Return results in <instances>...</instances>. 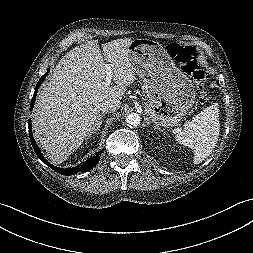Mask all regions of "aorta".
<instances>
[{
  "label": "aorta",
  "mask_w": 253,
  "mask_h": 253,
  "mask_svg": "<svg viewBox=\"0 0 253 253\" xmlns=\"http://www.w3.org/2000/svg\"><path fill=\"white\" fill-rule=\"evenodd\" d=\"M141 118L137 113H131L126 117V123L129 127H137L140 124Z\"/></svg>",
  "instance_id": "762f6f07"
}]
</instances>
